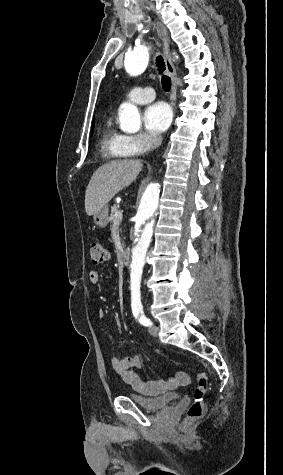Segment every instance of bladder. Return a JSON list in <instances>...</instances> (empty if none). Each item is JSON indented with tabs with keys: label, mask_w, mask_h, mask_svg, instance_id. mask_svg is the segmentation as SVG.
<instances>
[{
	"label": "bladder",
	"mask_w": 283,
	"mask_h": 475,
	"mask_svg": "<svg viewBox=\"0 0 283 475\" xmlns=\"http://www.w3.org/2000/svg\"><path fill=\"white\" fill-rule=\"evenodd\" d=\"M126 397L133 401L137 406L151 412H156L177 405L179 402V396L169 394H161L155 397H143L138 393L127 392Z\"/></svg>",
	"instance_id": "1"
}]
</instances>
